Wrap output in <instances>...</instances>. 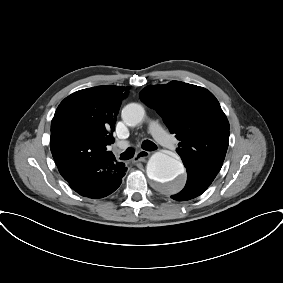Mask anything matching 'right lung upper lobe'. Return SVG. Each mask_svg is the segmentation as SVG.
I'll return each instance as SVG.
<instances>
[{
    "label": "right lung upper lobe",
    "instance_id": "obj_1",
    "mask_svg": "<svg viewBox=\"0 0 283 283\" xmlns=\"http://www.w3.org/2000/svg\"><path fill=\"white\" fill-rule=\"evenodd\" d=\"M129 87L98 86L74 92L58 106L51 123V152L62 177L115 158L106 151Z\"/></svg>",
    "mask_w": 283,
    "mask_h": 283
}]
</instances>
